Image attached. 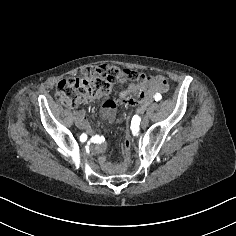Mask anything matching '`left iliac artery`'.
Wrapping results in <instances>:
<instances>
[{
  "mask_svg": "<svg viewBox=\"0 0 236 236\" xmlns=\"http://www.w3.org/2000/svg\"><path fill=\"white\" fill-rule=\"evenodd\" d=\"M154 98H155L156 101H159V100L162 99V96H161L160 93H157V94L154 96Z\"/></svg>",
  "mask_w": 236,
  "mask_h": 236,
  "instance_id": "1",
  "label": "left iliac artery"
}]
</instances>
